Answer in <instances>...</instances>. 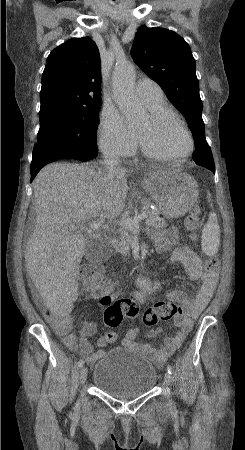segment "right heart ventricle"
<instances>
[{
    "instance_id": "right-heart-ventricle-1",
    "label": "right heart ventricle",
    "mask_w": 245,
    "mask_h": 450,
    "mask_svg": "<svg viewBox=\"0 0 245 450\" xmlns=\"http://www.w3.org/2000/svg\"><path fill=\"white\" fill-rule=\"evenodd\" d=\"M148 107L150 108V110H154V109H168V108L164 107L163 102L158 103V104L153 105V106H148Z\"/></svg>"
}]
</instances>
